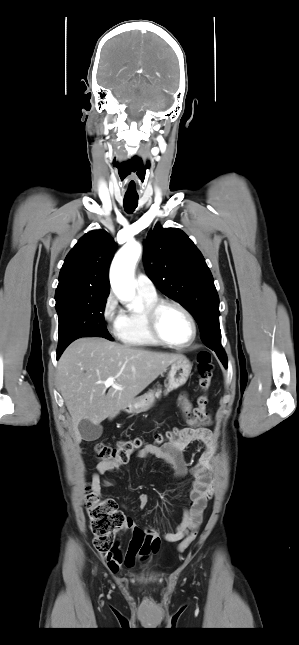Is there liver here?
Here are the masks:
<instances>
[{
	"instance_id": "1",
	"label": "liver",
	"mask_w": 299,
	"mask_h": 645,
	"mask_svg": "<svg viewBox=\"0 0 299 645\" xmlns=\"http://www.w3.org/2000/svg\"><path fill=\"white\" fill-rule=\"evenodd\" d=\"M184 356L161 353L104 338H80L61 355L56 382L71 415L74 437L82 440L78 425L89 420L97 425L115 418L135 397L167 368ZM115 379L120 387H106L104 381ZM108 389V392L106 393Z\"/></svg>"
}]
</instances>
